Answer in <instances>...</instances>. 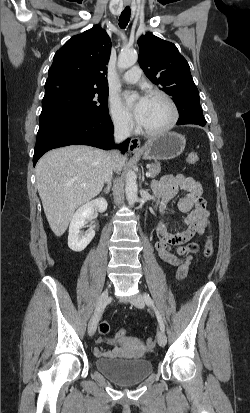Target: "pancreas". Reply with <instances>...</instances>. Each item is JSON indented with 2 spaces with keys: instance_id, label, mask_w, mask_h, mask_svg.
Wrapping results in <instances>:
<instances>
[{
  "instance_id": "1",
  "label": "pancreas",
  "mask_w": 250,
  "mask_h": 413,
  "mask_svg": "<svg viewBox=\"0 0 250 413\" xmlns=\"http://www.w3.org/2000/svg\"><path fill=\"white\" fill-rule=\"evenodd\" d=\"M161 167L160 163L152 164L149 168V172L151 173V178L156 177L160 173Z\"/></svg>"
}]
</instances>
